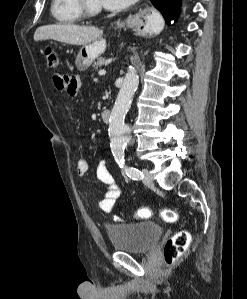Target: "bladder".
Returning a JSON list of instances; mask_svg holds the SVG:
<instances>
[{
	"label": "bladder",
	"instance_id": "bladder-1",
	"mask_svg": "<svg viewBox=\"0 0 247 299\" xmlns=\"http://www.w3.org/2000/svg\"><path fill=\"white\" fill-rule=\"evenodd\" d=\"M163 235V228L154 222L114 225L107 229L112 247L118 251L145 254Z\"/></svg>",
	"mask_w": 247,
	"mask_h": 299
}]
</instances>
